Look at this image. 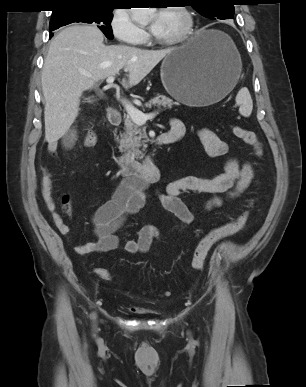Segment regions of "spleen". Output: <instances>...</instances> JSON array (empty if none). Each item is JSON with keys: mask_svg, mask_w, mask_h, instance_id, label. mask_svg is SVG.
I'll return each mask as SVG.
<instances>
[{"mask_svg": "<svg viewBox=\"0 0 306 387\" xmlns=\"http://www.w3.org/2000/svg\"><path fill=\"white\" fill-rule=\"evenodd\" d=\"M236 104L239 106V113L244 117H249L253 109V101L249 90L243 87L236 96Z\"/></svg>", "mask_w": 306, "mask_h": 387, "instance_id": "obj_1", "label": "spleen"}]
</instances>
